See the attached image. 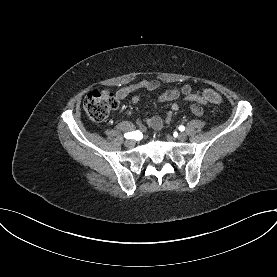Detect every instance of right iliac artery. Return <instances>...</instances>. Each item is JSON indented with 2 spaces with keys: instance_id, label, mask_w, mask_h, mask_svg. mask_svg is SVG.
<instances>
[{
  "instance_id": "right-iliac-artery-1",
  "label": "right iliac artery",
  "mask_w": 277,
  "mask_h": 277,
  "mask_svg": "<svg viewBox=\"0 0 277 277\" xmlns=\"http://www.w3.org/2000/svg\"><path fill=\"white\" fill-rule=\"evenodd\" d=\"M124 137L127 139H131V138H141L142 137V133L140 131H135V132H128L126 134H124Z\"/></svg>"
}]
</instances>
